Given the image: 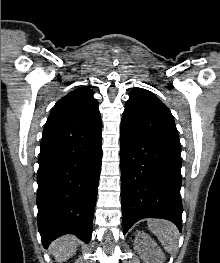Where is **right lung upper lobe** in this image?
I'll use <instances>...</instances> for the list:
<instances>
[{
  "mask_svg": "<svg viewBox=\"0 0 220 263\" xmlns=\"http://www.w3.org/2000/svg\"><path fill=\"white\" fill-rule=\"evenodd\" d=\"M93 94L83 87L61 98L51 110L42 138H79L101 128L98 102Z\"/></svg>",
  "mask_w": 220,
  "mask_h": 263,
  "instance_id": "right-lung-upper-lobe-1",
  "label": "right lung upper lobe"
}]
</instances>
